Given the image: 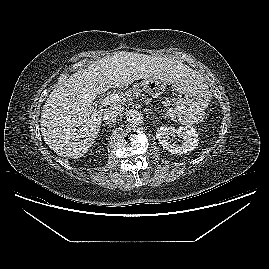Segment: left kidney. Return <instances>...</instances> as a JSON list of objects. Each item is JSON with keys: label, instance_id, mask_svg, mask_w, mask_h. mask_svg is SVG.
<instances>
[{"label": "left kidney", "instance_id": "5707ae66", "mask_svg": "<svg viewBox=\"0 0 269 269\" xmlns=\"http://www.w3.org/2000/svg\"><path fill=\"white\" fill-rule=\"evenodd\" d=\"M177 134L182 137L181 144H171L170 135ZM156 137L162 147L172 154H185L193 151L198 146V133L191 126L161 127L156 132Z\"/></svg>", "mask_w": 269, "mask_h": 269}]
</instances>
